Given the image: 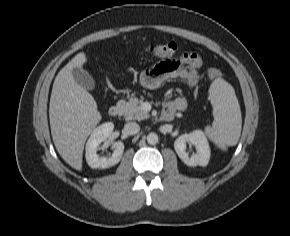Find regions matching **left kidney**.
I'll return each instance as SVG.
<instances>
[{"label": "left kidney", "instance_id": "5707ae66", "mask_svg": "<svg viewBox=\"0 0 290 236\" xmlns=\"http://www.w3.org/2000/svg\"><path fill=\"white\" fill-rule=\"evenodd\" d=\"M187 143L194 145L196 148V153L191 156L186 151ZM174 149L187 166H206L210 159L209 143L201 130H195L189 134L179 136L174 143Z\"/></svg>", "mask_w": 290, "mask_h": 236}]
</instances>
